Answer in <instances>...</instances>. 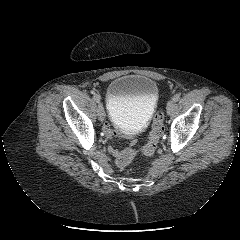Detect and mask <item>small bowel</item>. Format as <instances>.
<instances>
[{"mask_svg": "<svg viewBox=\"0 0 240 240\" xmlns=\"http://www.w3.org/2000/svg\"><path fill=\"white\" fill-rule=\"evenodd\" d=\"M103 126L105 127V133H106L107 138H109V139L111 137L116 138L118 136V133L114 129L110 130L109 127L111 126V123L109 121H105L103 123ZM138 143H139V140L135 135H130L128 137V145L130 147H135L136 145H138ZM109 151L116 157L120 154V151L113 147H110Z\"/></svg>", "mask_w": 240, "mask_h": 240, "instance_id": "obj_1", "label": "small bowel"}]
</instances>
